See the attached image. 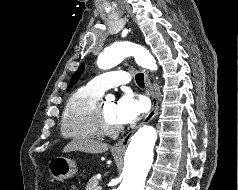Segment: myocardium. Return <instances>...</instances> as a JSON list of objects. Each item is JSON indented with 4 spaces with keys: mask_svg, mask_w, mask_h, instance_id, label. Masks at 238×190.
I'll use <instances>...</instances> for the list:
<instances>
[{
    "mask_svg": "<svg viewBox=\"0 0 238 190\" xmlns=\"http://www.w3.org/2000/svg\"><path fill=\"white\" fill-rule=\"evenodd\" d=\"M94 120L96 127L101 134L115 135L123 130V126L121 124L115 125L108 121L103 109V102L97 103L94 112Z\"/></svg>",
    "mask_w": 238,
    "mask_h": 190,
    "instance_id": "obj_1",
    "label": "myocardium"
}]
</instances>
